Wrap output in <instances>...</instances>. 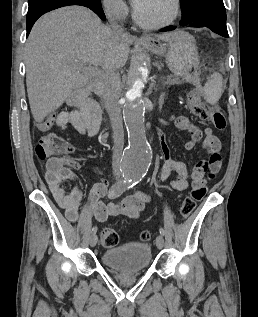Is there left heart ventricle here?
Returning <instances> with one entry per match:
<instances>
[{
    "instance_id": "obj_1",
    "label": "left heart ventricle",
    "mask_w": 258,
    "mask_h": 317,
    "mask_svg": "<svg viewBox=\"0 0 258 317\" xmlns=\"http://www.w3.org/2000/svg\"><path fill=\"white\" fill-rule=\"evenodd\" d=\"M173 12L174 5L169 0H154L140 8L139 17L145 27H156L169 20Z\"/></svg>"
}]
</instances>
